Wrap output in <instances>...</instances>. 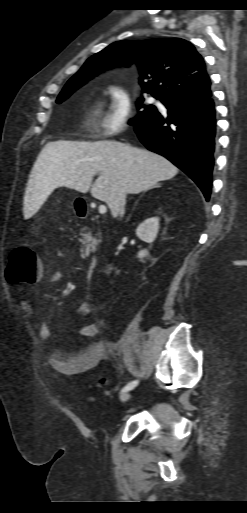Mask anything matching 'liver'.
I'll use <instances>...</instances> for the list:
<instances>
[{
  "mask_svg": "<svg viewBox=\"0 0 247 513\" xmlns=\"http://www.w3.org/2000/svg\"><path fill=\"white\" fill-rule=\"evenodd\" d=\"M177 173L178 169L166 158L121 142H50L41 150L32 168L23 212L25 216L35 214L58 187L87 193L93 177L99 174L91 194L106 202L116 217V202L122 193L138 194Z\"/></svg>",
  "mask_w": 247,
  "mask_h": 513,
  "instance_id": "6515ba94",
  "label": "liver"
}]
</instances>
